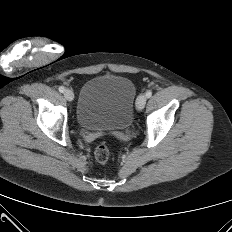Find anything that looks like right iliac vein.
Listing matches in <instances>:
<instances>
[{
  "mask_svg": "<svg viewBox=\"0 0 232 232\" xmlns=\"http://www.w3.org/2000/svg\"><path fill=\"white\" fill-rule=\"evenodd\" d=\"M64 97L66 100L72 101L74 99V93L71 90L67 89L64 91Z\"/></svg>",
  "mask_w": 232,
  "mask_h": 232,
  "instance_id": "1",
  "label": "right iliac vein"
}]
</instances>
